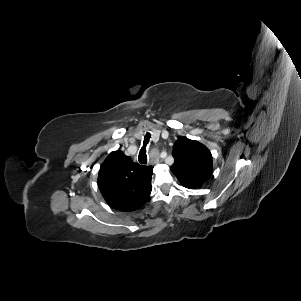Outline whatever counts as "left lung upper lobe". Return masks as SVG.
<instances>
[{
	"instance_id": "obj_1",
	"label": "left lung upper lobe",
	"mask_w": 301,
	"mask_h": 301,
	"mask_svg": "<svg viewBox=\"0 0 301 301\" xmlns=\"http://www.w3.org/2000/svg\"><path fill=\"white\" fill-rule=\"evenodd\" d=\"M172 155L175 162L171 171L184 187L196 189L209 179L213 167L212 155L200 142L179 137Z\"/></svg>"
}]
</instances>
